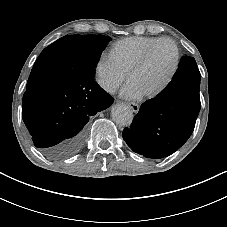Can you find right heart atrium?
<instances>
[{"mask_svg": "<svg viewBox=\"0 0 227 227\" xmlns=\"http://www.w3.org/2000/svg\"><path fill=\"white\" fill-rule=\"evenodd\" d=\"M94 75L98 87L108 94H114L126 79V73L105 54L98 58Z\"/></svg>", "mask_w": 227, "mask_h": 227, "instance_id": "right-heart-atrium-1", "label": "right heart atrium"}]
</instances>
